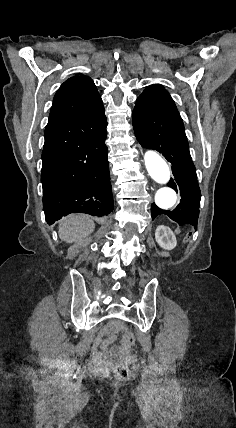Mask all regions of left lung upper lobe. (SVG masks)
Instances as JSON below:
<instances>
[{
    "instance_id": "left-lung-upper-lobe-1",
    "label": "left lung upper lobe",
    "mask_w": 236,
    "mask_h": 428,
    "mask_svg": "<svg viewBox=\"0 0 236 428\" xmlns=\"http://www.w3.org/2000/svg\"><path fill=\"white\" fill-rule=\"evenodd\" d=\"M136 105L177 110L169 93L159 84L150 85L138 97Z\"/></svg>"
}]
</instances>
